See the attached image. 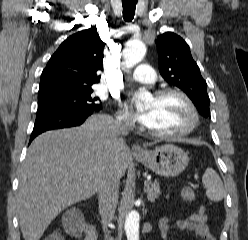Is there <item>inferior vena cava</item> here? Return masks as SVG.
<instances>
[{
    "mask_svg": "<svg viewBox=\"0 0 248 240\" xmlns=\"http://www.w3.org/2000/svg\"><path fill=\"white\" fill-rule=\"evenodd\" d=\"M131 127V121L128 118L115 120L111 127L110 140L118 145L122 140V136L127 135ZM119 183L120 177L115 169L110 165L103 173L98 189L99 212L102 218L106 240H112L109 236L107 225L112 221L117 207Z\"/></svg>",
    "mask_w": 248,
    "mask_h": 240,
    "instance_id": "602c4592",
    "label": "inferior vena cava"
}]
</instances>
